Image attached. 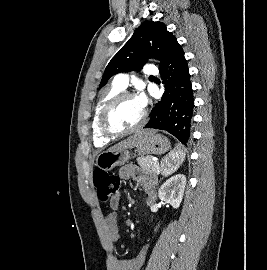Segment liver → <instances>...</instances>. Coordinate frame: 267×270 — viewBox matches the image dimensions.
<instances>
[{
  "label": "liver",
  "mask_w": 267,
  "mask_h": 270,
  "mask_svg": "<svg viewBox=\"0 0 267 270\" xmlns=\"http://www.w3.org/2000/svg\"><path fill=\"white\" fill-rule=\"evenodd\" d=\"M154 133L155 132L153 130L137 131L134 135L119 142L118 144L114 145L113 147L109 148L108 150L124 149V148L130 149V148L138 147L141 144H143V142Z\"/></svg>",
  "instance_id": "1"
}]
</instances>
